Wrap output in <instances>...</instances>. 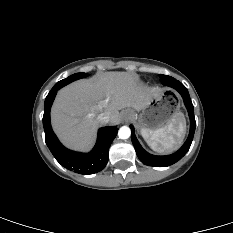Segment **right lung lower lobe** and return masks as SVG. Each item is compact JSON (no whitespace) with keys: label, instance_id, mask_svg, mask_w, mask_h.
I'll use <instances>...</instances> for the list:
<instances>
[{"label":"right lung lower lobe","instance_id":"98d812e1","mask_svg":"<svg viewBox=\"0 0 233 233\" xmlns=\"http://www.w3.org/2000/svg\"><path fill=\"white\" fill-rule=\"evenodd\" d=\"M60 86L51 89L45 99L43 126L45 141L56 160L65 168L79 174H94L106 166L109 147L117 135L118 128L102 127L98 131L96 145L89 153H79L65 148L54 134L50 123V109Z\"/></svg>","mask_w":233,"mask_h":233}]
</instances>
